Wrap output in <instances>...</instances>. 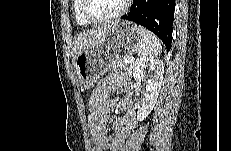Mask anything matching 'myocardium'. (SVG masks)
Segmentation results:
<instances>
[{"label":"myocardium","instance_id":"1","mask_svg":"<svg viewBox=\"0 0 231 151\" xmlns=\"http://www.w3.org/2000/svg\"><path fill=\"white\" fill-rule=\"evenodd\" d=\"M88 1L89 0H82V14L87 21L94 24L108 23L121 18L127 12L129 4L131 3L130 0H124L122 8L117 13L104 18H94L88 12Z\"/></svg>","mask_w":231,"mask_h":151}]
</instances>
